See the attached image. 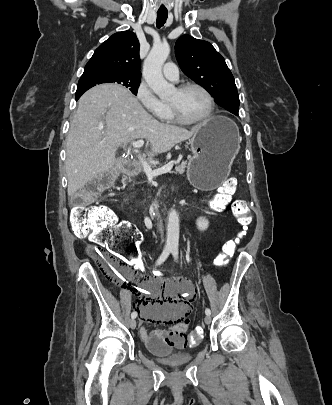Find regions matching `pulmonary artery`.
Masks as SVG:
<instances>
[{
	"label": "pulmonary artery",
	"instance_id": "1",
	"mask_svg": "<svg viewBox=\"0 0 332 405\" xmlns=\"http://www.w3.org/2000/svg\"><path fill=\"white\" fill-rule=\"evenodd\" d=\"M163 75L169 80L178 81L179 71L177 66L172 62L166 63L163 67Z\"/></svg>",
	"mask_w": 332,
	"mask_h": 405
}]
</instances>
